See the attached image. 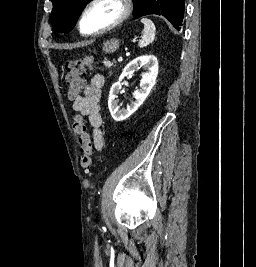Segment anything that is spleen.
Here are the masks:
<instances>
[{"label":"spleen","instance_id":"3e777b00","mask_svg":"<svg viewBox=\"0 0 256 267\" xmlns=\"http://www.w3.org/2000/svg\"><path fill=\"white\" fill-rule=\"evenodd\" d=\"M140 22L141 24H144V30L142 32V38L138 42V46L139 48H146V46H149V44H152V42H154L156 36V28L152 20H148V18H142Z\"/></svg>","mask_w":256,"mask_h":267}]
</instances>
